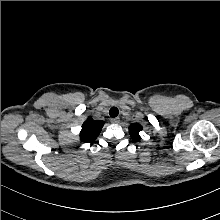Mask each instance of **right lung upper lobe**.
<instances>
[{
	"mask_svg": "<svg viewBox=\"0 0 220 220\" xmlns=\"http://www.w3.org/2000/svg\"><path fill=\"white\" fill-rule=\"evenodd\" d=\"M103 121L93 120L92 118H88L82 125V130L80 132V139L83 142H92L94 141L101 129L103 127Z\"/></svg>",
	"mask_w": 220,
	"mask_h": 220,
	"instance_id": "cb5924a9",
	"label": "right lung upper lobe"
}]
</instances>
